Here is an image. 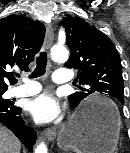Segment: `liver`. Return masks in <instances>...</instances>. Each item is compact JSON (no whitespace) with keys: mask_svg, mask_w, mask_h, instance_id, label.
<instances>
[{"mask_svg":"<svg viewBox=\"0 0 130 153\" xmlns=\"http://www.w3.org/2000/svg\"><path fill=\"white\" fill-rule=\"evenodd\" d=\"M21 143L17 137L0 124V153H20Z\"/></svg>","mask_w":130,"mask_h":153,"instance_id":"1","label":"liver"}]
</instances>
